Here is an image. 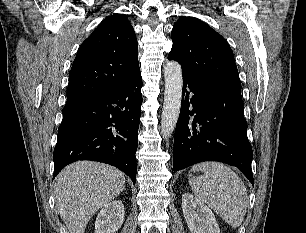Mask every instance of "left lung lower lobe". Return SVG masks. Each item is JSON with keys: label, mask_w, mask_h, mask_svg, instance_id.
Returning <instances> with one entry per match:
<instances>
[{"label": "left lung lower lobe", "mask_w": 306, "mask_h": 233, "mask_svg": "<svg viewBox=\"0 0 306 233\" xmlns=\"http://www.w3.org/2000/svg\"><path fill=\"white\" fill-rule=\"evenodd\" d=\"M243 112L241 91L183 76L172 171L201 161H219L239 168L254 185L253 151Z\"/></svg>", "instance_id": "1"}]
</instances>
